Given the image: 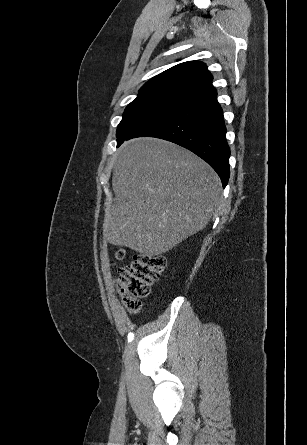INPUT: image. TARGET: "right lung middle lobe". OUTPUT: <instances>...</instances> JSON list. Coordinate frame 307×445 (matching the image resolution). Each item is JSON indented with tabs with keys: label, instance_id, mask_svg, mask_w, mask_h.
<instances>
[{
	"label": "right lung middle lobe",
	"instance_id": "right-lung-middle-lobe-1",
	"mask_svg": "<svg viewBox=\"0 0 307 445\" xmlns=\"http://www.w3.org/2000/svg\"><path fill=\"white\" fill-rule=\"evenodd\" d=\"M185 100L173 97L145 95L138 96L125 109L123 118L117 128V141L158 118L159 116L173 110Z\"/></svg>",
	"mask_w": 307,
	"mask_h": 445
}]
</instances>
